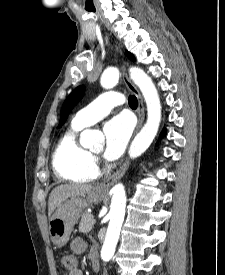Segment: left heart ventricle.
I'll return each mask as SVG.
<instances>
[{
    "instance_id": "b2bd125f",
    "label": "left heart ventricle",
    "mask_w": 225,
    "mask_h": 275,
    "mask_svg": "<svg viewBox=\"0 0 225 275\" xmlns=\"http://www.w3.org/2000/svg\"><path fill=\"white\" fill-rule=\"evenodd\" d=\"M100 151H101V148H100V149H98V150H96L95 152L99 153Z\"/></svg>"
}]
</instances>
